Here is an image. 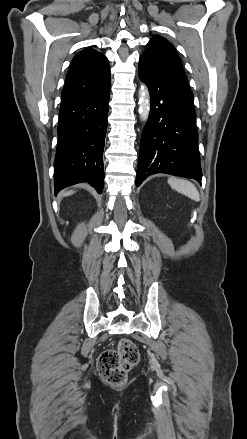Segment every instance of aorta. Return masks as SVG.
Listing matches in <instances>:
<instances>
[{"mask_svg":"<svg viewBox=\"0 0 247 439\" xmlns=\"http://www.w3.org/2000/svg\"><path fill=\"white\" fill-rule=\"evenodd\" d=\"M139 115L142 121H147L150 113V95L145 84L139 88Z\"/></svg>","mask_w":247,"mask_h":439,"instance_id":"762f6f07","label":"aorta"}]
</instances>
